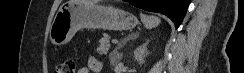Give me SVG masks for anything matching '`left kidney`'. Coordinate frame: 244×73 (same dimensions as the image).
I'll list each match as a JSON object with an SVG mask.
<instances>
[{"mask_svg": "<svg viewBox=\"0 0 244 73\" xmlns=\"http://www.w3.org/2000/svg\"><path fill=\"white\" fill-rule=\"evenodd\" d=\"M147 45L148 42L143 44L142 46L137 47L134 51V58L140 65L144 64V59L149 54L147 51Z\"/></svg>", "mask_w": 244, "mask_h": 73, "instance_id": "1", "label": "left kidney"}]
</instances>
